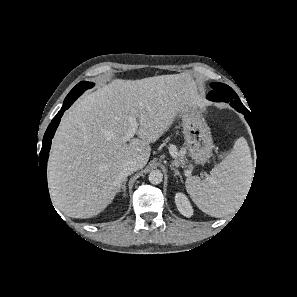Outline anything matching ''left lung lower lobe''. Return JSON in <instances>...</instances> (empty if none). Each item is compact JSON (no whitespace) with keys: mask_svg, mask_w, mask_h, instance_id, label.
I'll use <instances>...</instances> for the list:
<instances>
[{"mask_svg":"<svg viewBox=\"0 0 297 297\" xmlns=\"http://www.w3.org/2000/svg\"><path fill=\"white\" fill-rule=\"evenodd\" d=\"M235 109L238 112H241L242 114L245 115V118H246L247 122L249 123V125H250V127L252 129V133L254 135L255 144H257L255 130H254V125H253V119H252V115H251L250 111H248L247 109H241V108H235ZM256 166H257V164H256Z\"/></svg>","mask_w":297,"mask_h":297,"instance_id":"1","label":"left lung lower lobe"}]
</instances>
